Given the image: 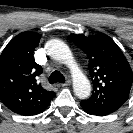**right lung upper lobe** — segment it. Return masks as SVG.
<instances>
[{
	"label": "right lung upper lobe",
	"mask_w": 133,
	"mask_h": 133,
	"mask_svg": "<svg viewBox=\"0 0 133 133\" xmlns=\"http://www.w3.org/2000/svg\"><path fill=\"white\" fill-rule=\"evenodd\" d=\"M41 35L23 32L14 37L0 56V100L14 113H42L55 97L38 82L42 67L34 60Z\"/></svg>",
	"instance_id": "obj_1"
}]
</instances>
